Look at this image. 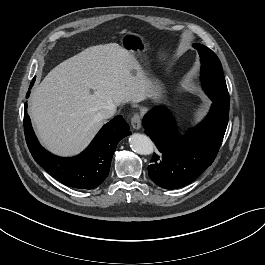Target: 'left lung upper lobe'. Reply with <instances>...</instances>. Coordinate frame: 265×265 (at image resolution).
Wrapping results in <instances>:
<instances>
[{
  "instance_id": "left-lung-upper-lobe-1",
  "label": "left lung upper lobe",
  "mask_w": 265,
  "mask_h": 265,
  "mask_svg": "<svg viewBox=\"0 0 265 265\" xmlns=\"http://www.w3.org/2000/svg\"><path fill=\"white\" fill-rule=\"evenodd\" d=\"M202 63V83L207 95L220 106L229 108V94L222 71V65L216 54L201 44H194Z\"/></svg>"
}]
</instances>
